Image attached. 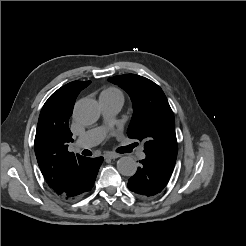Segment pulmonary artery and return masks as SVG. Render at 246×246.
Here are the masks:
<instances>
[{"mask_svg": "<svg viewBox=\"0 0 246 246\" xmlns=\"http://www.w3.org/2000/svg\"><path fill=\"white\" fill-rule=\"evenodd\" d=\"M100 105L103 116L109 120L117 114L123 105V100L116 98L100 97ZM103 139V131L101 129H92L82 134L76 141L78 148H91L97 145ZM139 159H145L146 155L143 150L137 153Z\"/></svg>", "mask_w": 246, "mask_h": 246, "instance_id": "1", "label": "pulmonary artery"}]
</instances>
